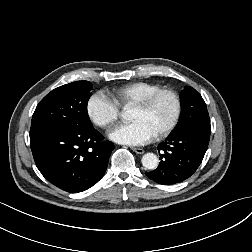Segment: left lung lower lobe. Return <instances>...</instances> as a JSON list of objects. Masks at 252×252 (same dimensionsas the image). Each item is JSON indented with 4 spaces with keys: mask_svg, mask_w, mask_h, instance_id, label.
Segmentation results:
<instances>
[{
    "mask_svg": "<svg viewBox=\"0 0 252 252\" xmlns=\"http://www.w3.org/2000/svg\"><path fill=\"white\" fill-rule=\"evenodd\" d=\"M211 128L193 126L170 134L158 145L161 162L157 169L145 174L155 182L171 185L189 178L199 167L206 153Z\"/></svg>",
    "mask_w": 252,
    "mask_h": 252,
    "instance_id": "left-lung-lower-lobe-1",
    "label": "left lung lower lobe"
}]
</instances>
